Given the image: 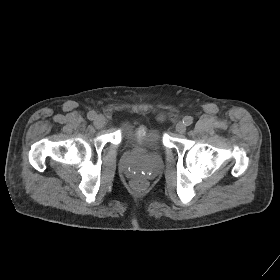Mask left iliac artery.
<instances>
[{"instance_id":"1","label":"left iliac artery","mask_w":280,"mask_h":280,"mask_svg":"<svg viewBox=\"0 0 280 280\" xmlns=\"http://www.w3.org/2000/svg\"><path fill=\"white\" fill-rule=\"evenodd\" d=\"M183 123L186 125V126H189L193 123V118L191 116H185L183 118Z\"/></svg>"}]
</instances>
